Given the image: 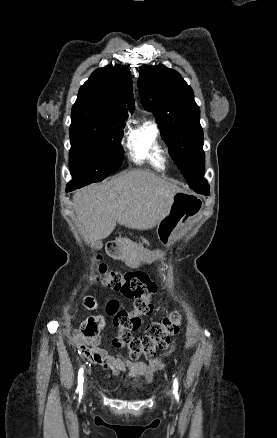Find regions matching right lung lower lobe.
<instances>
[{
    "label": "right lung lower lobe",
    "instance_id": "1",
    "mask_svg": "<svg viewBox=\"0 0 277 438\" xmlns=\"http://www.w3.org/2000/svg\"><path fill=\"white\" fill-rule=\"evenodd\" d=\"M78 188L79 187H77V186L70 187V186L67 185L66 192L73 191V190L78 189Z\"/></svg>",
    "mask_w": 277,
    "mask_h": 438
}]
</instances>
